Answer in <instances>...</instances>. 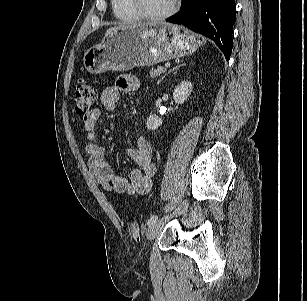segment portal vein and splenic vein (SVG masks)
<instances>
[{"mask_svg": "<svg viewBox=\"0 0 307 301\" xmlns=\"http://www.w3.org/2000/svg\"><path fill=\"white\" fill-rule=\"evenodd\" d=\"M170 67V64L169 63H166L165 64V68H169Z\"/></svg>", "mask_w": 307, "mask_h": 301, "instance_id": "obj_1", "label": "portal vein and splenic vein"}]
</instances>
